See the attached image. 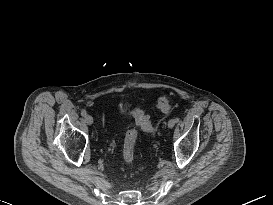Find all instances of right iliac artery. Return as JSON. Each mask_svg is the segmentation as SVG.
Wrapping results in <instances>:
<instances>
[{
    "mask_svg": "<svg viewBox=\"0 0 273 205\" xmlns=\"http://www.w3.org/2000/svg\"><path fill=\"white\" fill-rule=\"evenodd\" d=\"M81 115H82L83 117H85V116L87 115L86 110H82V111H81Z\"/></svg>",
    "mask_w": 273,
    "mask_h": 205,
    "instance_id": "82829eb1",
    "label": "right iliac artery"
}]
</instances>
